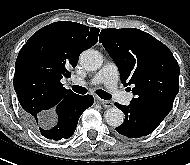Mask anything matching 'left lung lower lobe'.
<instances>
[{
  "instance_id": "obj_1",
  "label": "left lung lower lobe",
  "mask_w": 190,
  "mask_h": 165,
  "mask_svg": "<svg viewBox=\"0 0 190 165\" xmlns=\"http://www.w3.org/2000/svg\"><path fill=\"white\" fill-rule=\"evenodd\" d=\"M115 106L125 113V120L121 126L116 128V131L129 138H139L150 134L170 112L164 108L132 102L129 106L119 103H115Z\"/></svg>"
}]
</instances>
